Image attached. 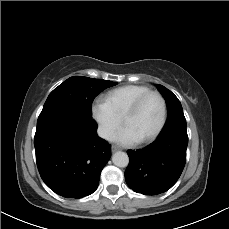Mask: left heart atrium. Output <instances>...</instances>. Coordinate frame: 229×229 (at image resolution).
I'll use <instances>...</instances> for the list:
<instances>
[{"instance_id":"left-heart-atrium-1","label":"left heart atrium","mask_w":229,"mask_h":229,"mask_svg":"<svg viewBox=\"0 0 229 229\" xmlns=\"http://www.w3.org/2000/svg\"><path fill=\"white\" fill-rule=\"evenodd\" d=\"M116 140L126 146L136 144L139 139L132 137L126 129H122L116 136Z\"/></svg>"}]
</instances>
